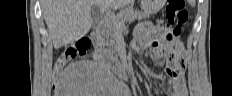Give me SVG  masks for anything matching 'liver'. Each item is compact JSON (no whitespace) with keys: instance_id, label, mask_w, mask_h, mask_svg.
I'll return each instance as SVG.
<instances>
[{"instance_id":"liver-1","label":"liver","mask_w":232,"mask_h":96,"mask_svg":"<svg viewBox=\"0 0 232 96\" xmlns=\"http://www.w3.org/2000/svg\"><path fill=\"white\" fill-rule=\"evenodd\" d=\"M132 0H42L43 16L55 49L84 37L92 26L91 8L102 13L119 9Z\"/></svg>"}]
</instances>
